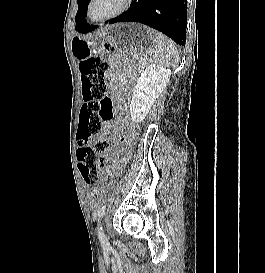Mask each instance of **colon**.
Instances as JSON below:
<instances>
[{
  "instance_id": "5ec220e1",
  "label": "colon",
  "mask_w": 265,
  "mask_h": 273,
  "mask_svg": "<svg viewBox=\"0 0 265 273\" xmlns=\"http://www.w3.org/2000/svg\"><path fill=\"white\" fill-rule=\"evenodd\" d=\"M114 47L105 43L102 52L112 53ZM108 65L99 58L87 56L80 61L83 105L80 111L77 130V159L84 182L92 187L89 195L91 202L101 196V185L104 180L103 164H99L98 154L108 147V141L99 139L104 125L113 117V105L107 96L105 73Z\"/></svg>"
}]
</instances>
